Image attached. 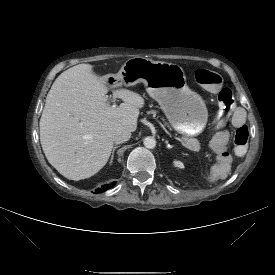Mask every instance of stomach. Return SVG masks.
<instances>
[{"label":"stomach","instance_id":"obj_1","mask_svg":"<svg viewBox=\"0 0 275 275\" xmlns=\"http://www.w3.org/2000/svg\"><path fill=\"white\" fill-rule=\"evenodd\" d=\"M139 82L159 103L175 131L185 137L202 133L208 121V109L203 98L188 87L181 66L134 57L127 60L118 73L106 78L109 88Z\"/></svg>","mask_w":275,"mask_h":275}]
</instances>
